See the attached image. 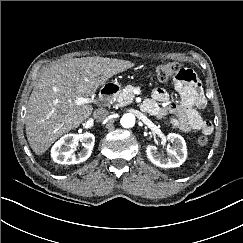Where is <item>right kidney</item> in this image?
I'll return each mask as SVG.
<instances>
[{"label":"right kidney","mask_w":243,"mask_h":243,"mask_svg":"<svg viewBox=\"0 0 243 243\" xmlns=\"http://www.w3.org/2000/svg\"><path fill=\"white\" fill-rule=\"evenodd\" d=\"M78 141L82 142L83 149L75 153ZM95 136L90 132L83 134H66L61 137L51 148V157L59 164H79L86 161L93 150Z\"/></svg>","instance_id":"ca27d5eb"}]
</instances>
